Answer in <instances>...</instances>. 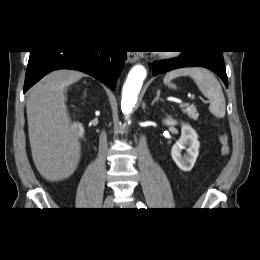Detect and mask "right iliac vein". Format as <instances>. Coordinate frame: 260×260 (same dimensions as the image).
I'll return each mask as SVG.
<instances>
[{"label":"right iliac vein","mask_w":260,"mask_h":260,"mask_svg":"<svg viewBox=\"0 0 260 260\" xmlns=\"http://www.w3.org/2000/svg\"><path fill=\"white\" fill-rule=\"evenodd\" d=\"M113 204H114V203H113V197H112V196H109V197L106 198L103 207L106 208V209H108V208L113 207Z\"/></svg>","instance_id":"right-iliac-vein-1"}]
</instances>
